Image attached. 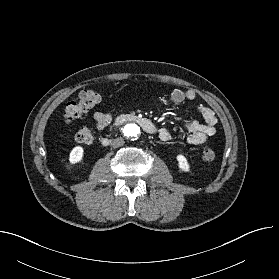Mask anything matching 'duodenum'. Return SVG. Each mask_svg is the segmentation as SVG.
<instances>
[{"label":"duodenum","instance_id":"obj_1","mask_svg":"<svg viewBox=\"0 0 279 279\" xmlns=\"http://www.w3.org/2000/svg\"><path fill=\"white\" fill-rule=\"evenodd\" d=\"M127 122L137 123L147 133L153 134V133L156 132V128L150 120H148L147 118L138 117L136 115L123 114V115H121L117 118V120L115 122V125L120 126V125L125 124ZM109 143H110V140L108 138H103L101 140L102 147H107L109 145Z\"/></svg>","mask_w":279,"mask_h":279}]
</instances>
